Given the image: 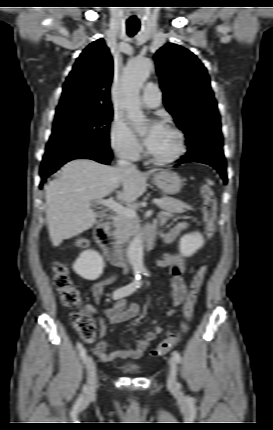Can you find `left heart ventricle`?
Returning a JSON list of instances; mask_svg holds the SVG:
<instances>
[{
  "label": "left heart ventricle",
  "mask_w": 273,
  "mask_h": 430,
  "mask_svg": "<svg viewBox=\"0 0 273 430\" xmlns=\"http://www.w3.org/2000/svg\"><path fill=\"white\" fill-rule=\"evenodd\" d=\"M178 146V140L174 133L163 128L150 152L159 158H167L172 156Z\"/></svg>",
  "instance_id": "left-heart-ventricle-1"
}]
</instances>
